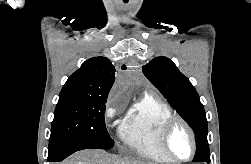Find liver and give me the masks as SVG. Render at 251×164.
Here are the masks:
<instances>
[{"label": "liver", "mask_w": 251, "mask_h": 164, "mask_svg": "<svg viewBox=\"0 0 251 164\" xmlns=\"http://www.w3.org/2000/svg\"><path fill=\"white\" fill-rule=\"evenodd\" d=\"M61 164H154L133 158H122L102 150H84L77 152Z\"/></svg>", "instance_id": "6515ba94"}]
</instances>
